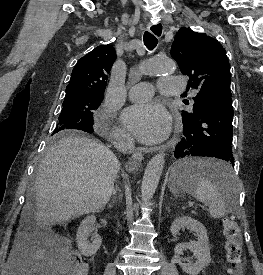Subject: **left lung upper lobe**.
Segmentation results:
<instances>
[{"label": "left lung upper lobe", "mask_w": 263, "mask_h": 275, "mask_svg": "<svg viewBox=\"0 0 263 275\" xmlns=\"http://www.w3.org/2000/svg\"><path fill=\"white\" fill-rule=\"evenodd\" d=\"M171 56L181 72L190 77L189 87L199 91L193 98V113L182 111L183 123L196 121L211 104L231 97L230 65L225 49L216 39L181 28L172 44Z\"/></svg>", "instance_id": "obj_1"}]
</instances>
